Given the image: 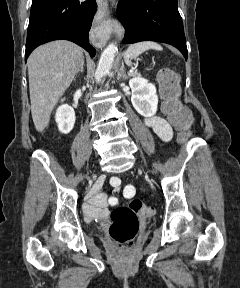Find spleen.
<instances>
[{"label":"spleen","instance_id":"1","mask_svg":"<svg viewBox=\"0 0 240 288\" xmlns=\"http://www.w3.org/2000/svg\"><path fill=\"white\" fill-rule=\"evenodd\" d=\"M149 49L161 51L162 47L154 41H143L135 43L128 47L127 51L125 52L124 59L127 63H131V59H135L137 56Z\"/></svg>","mask_w":240,"mask_h":288}]
</instances>
